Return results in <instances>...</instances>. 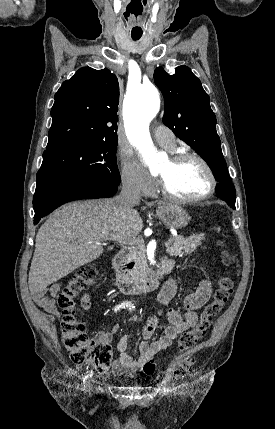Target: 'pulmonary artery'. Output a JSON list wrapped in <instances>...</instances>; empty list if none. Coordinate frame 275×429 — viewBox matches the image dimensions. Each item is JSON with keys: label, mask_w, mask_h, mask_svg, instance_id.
Wrapping results in <instances>:
<instances>
[{"label": "pulmonary artery", "mask_w": 275, "mask_h": 429, "mask_svg": "<svg viewBox=\"0 0 275 429\" xmlns=\"http://www.w3.org/2000/svg\"><path fill=\"white\" fill-rule=\"evenodd\" d=\"M154 136L157 142L168 150H174L176 147V141L174 134L166 128H156L154 131Z\"/></svg>", "instance_id": "obj_1"}]
</instances>
